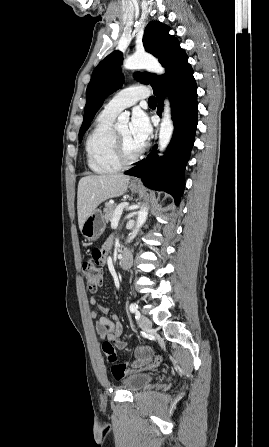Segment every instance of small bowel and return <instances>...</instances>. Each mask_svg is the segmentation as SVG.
I'll list each match as a JSON object with an SVG mask.
<instances>
[{
  "label": "small bowel",
  "instance_id": "1",
  "mask_svg": "<svg viewBox=\"0 0 269 447\" xmlns=\"http://www.w3.org/2000/svg\"><path fill=\"white\" fill-rule=\"evenodd\" d=\"M90 303L92 305H97L99 311L103 314H106L109 311L108 306L98 304V299L96 297H92ZM90 315L92 318L96 319L97 332L100 338L115 343L119 349H124L126 347L125 342L120 338L123 327L116 315H112V320H109L103 315H99L97 311H91ZM151 357L154 356H137V361H149Z\"/></svg>",
  "mask_w": 269,
  "mask_h": 447
}]
</instances>
